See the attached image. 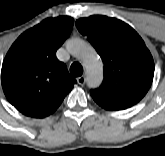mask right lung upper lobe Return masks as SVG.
<instances>
[{
    "label": "right lung upper lobe",
    "mask_w": 165,
    "mask_h": 156,
    "mask_svg": "<svg viewBox=\"0 0 165 156\" xmlns=\"http://www.w3.org/2000/svg\"><path fill=\"white\" fill-rule=\"evenodd\" d=\"M73 23L69 16L47 18L20 35L9 49L1 70L2 87L8 101L24 115H50L76 83L56 58Z\"/></svg>",
    "instance_id": "obj_1"
}]
</instances>
